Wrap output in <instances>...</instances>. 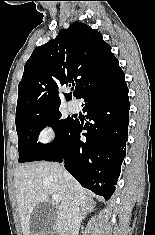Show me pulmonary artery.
Here are the masks:
<instances>
[{
  "mask_svg": "<svg viewBox=\"0 0 155 235\" xmlns=\"http://www.w3.org/2000/svg\"><path fill=\"white\" fill-rule=\"evenodd\" d=\"M69 109L72 111V112H75L78 110V103L75 101V100H71L69 102Z\"/></svg>",
  "mask_w": 155,
  "mask_h": 235,
  "instance_id": "e3ab8cb5",
  "label": "pulmonary artery"
}]
</instances>
